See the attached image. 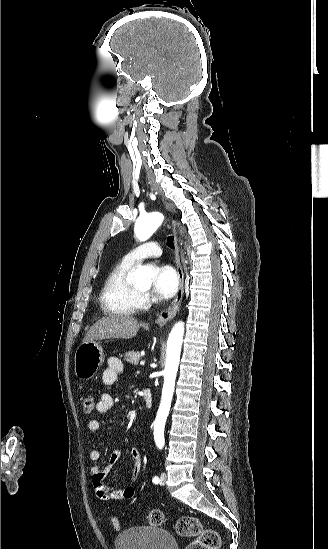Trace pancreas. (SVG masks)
Instances as JSON below:
<instances>
[{
  "mask_svg": "<svg viewBox=\"0 0 328 549\" xmlns=\"http://www.w3.org/2000/svg\"><path fill=\"white\" fill-rule=\"evenodd\" d=\"M124 359L125 361H127V363H132V365H139V361H141V353H134V351H129V353H125Z\"/></svg>",
  "mask_w": 328,
  "mask_h": 549,
  "instance_id": "1",
  "label": "pancreas"
}]
</instances>
